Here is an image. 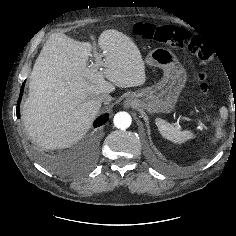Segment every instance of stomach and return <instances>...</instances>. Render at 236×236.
Instances as JSON below:
<instances>
[{"label": "stomach", "instance_id": "1", "mask_svg": "<svg viewBox=\"0 0 236 236\" xmlns=\"http://www.w3.org/2000/svg\"><path fill=\"white\" fill-rule=\"evenodd\" d=\"M146 63L161 68L163 78L152 86L131 93L125 103L142 108L148 113H168L175 107L186 83V71L175 54L165 48L149 52Z\"/></svg>", "mask_w": 236, "mask_h": 236}]
</instances>
